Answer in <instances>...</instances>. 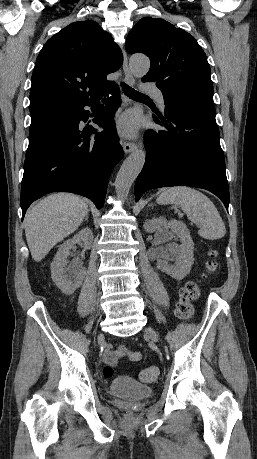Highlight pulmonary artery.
Returning <instances> with one entry per match:
<instances>
[{"instance_id": "1", "label": "pulmonary artery", "mask_w": 257, "mask_h": 459, "mask_svg": "<svg viewBox=\"0 0 257 459\" xmlns=\"http://www.w3.org/2000/svg\"><path fill=\"white\" fill-rule=\"evenodd\" d=\"M146 91L151 94L156 100L161 109L165 108V101L162 92L157 88H148Z\"/></svg>"}]
</instances>
